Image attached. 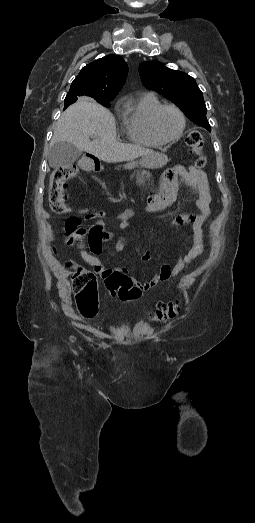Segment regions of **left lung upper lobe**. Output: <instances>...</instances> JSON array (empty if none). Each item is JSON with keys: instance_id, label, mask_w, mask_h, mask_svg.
<instances>
[{"instance_id": "obj_1", "label": "left lung upper lobe", "mask_w": 255, "mask_h": 523, "mask_svg": "<svg viewBox=\"0 0 255 523\" xmlns=\"http://www.w3.org/2000/svg\"><path fill=\"white\" fill-rule=\"evenodd\" d=\"M143 85L175 103L194 123L211 132L206 118L203 94L194 78L188 74L166 68L159 62H143L139 66Z\"/></svg>"}]
</instances>
